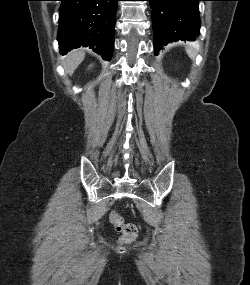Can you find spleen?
I'll use <instances>...</instances> for the list:
<instances>
[{
    "mask_svg": "<svg viewBox=\"0 0 250 285\" xmlns=\"http://www.w3.org/2000/svg\"><path fill=\"white\" fill-rule=\"evenodd\" d=\"M186 53L189 55V57L194 61L197 51L194 47L190 46V47H186Z\"/></svg>",
    "mask_w": 250,
    "mask_h": 285,
    "instance_id": "3e777b00",
    "label": "spleen"
}]
</instances>
